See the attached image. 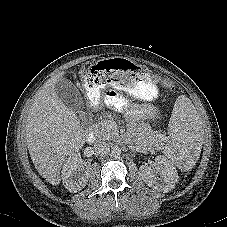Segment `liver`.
Instances as JSON below:
<instances>
[{"label": "liver", "mask_w": 227, "mask_h": 227, "mask_svg": "<svg viewBox=\"0 0 227 227\" xmlns=\"http://www.w3.org/2000/svg\"><path fill=\"white\" fill-rule=\"evenodd\" d=\"M64 73L47 80L30 106L26 119V141L32 162L50 184L59 185L60 170L67 157L85 143V134L77 115L54 90Z\"/></svg>", "instance_id": "6515ba94"}]
</instances>
